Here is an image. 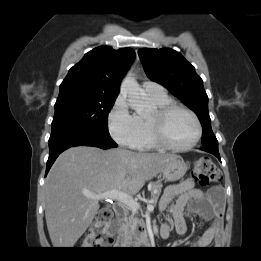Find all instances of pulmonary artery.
<instances>
[{"label":"pulmonary artery","mask_w":261,"mask_h":261,"mask_svg":"<svg viewBox=\"0 0 261 261\" xmlns=\"http://www.w3.org/2000/svg\"><path fill=\"white\" fill-rule=\"evenodd\" d=\"M142 87L147 94L159 95L165 93L164 88L156 82L144 81Z\"/></svg>","instance_id":"e3ab8cb5"}]
</instances>
